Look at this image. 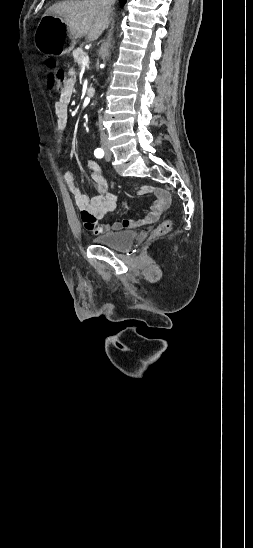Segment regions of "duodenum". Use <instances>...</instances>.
<instances>
[{
  "label": "duodenum",
  "instance_id": "duodenum-1",
  "mask_svg": "<svg viewBox=\"0 0 253 548\" xmlns=\"http://www.w3.org/2000/svg\"><path fill=\"white\" fill-rule=\"evenodd\" d=\"M94 94H95V89H94L93 87H89V88L87 89V91H86V95H87L88 97H93Z\"/></svg>",
  "mask_w": 253,
  "mask_h": 548
}]
</instances>
